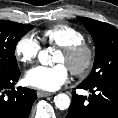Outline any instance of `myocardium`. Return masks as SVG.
I'll list each match as a JSON object with an SVG mask.
<instances>
[{
  "label": "myocardium",
  "mask_w": 118,
  "mask_h": 118,
  "mask_svg": "<svg viewBox=\"0 0 118 118\" xmlns=\"http://www.w3.org/2000/svg\"><path fill=\"white\" fill-rule=\"evenodd\" d=\"M60 51L70 60H80L78 64L69 68L70 72L75 76L83 77L87 75L94 65L95 50L84 41L62 46Z\"/></svg>",
  "instance_id": "obj_1"
}]
</instances>
